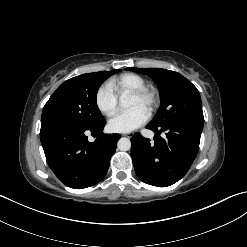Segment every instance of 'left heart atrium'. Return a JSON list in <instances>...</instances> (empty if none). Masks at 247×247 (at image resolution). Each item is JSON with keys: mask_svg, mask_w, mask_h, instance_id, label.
<instances>
[{"mask_svg": "<svg viewBox=\"0 0 247 247\" xmlns=\"http://www.w3.org/2000/svg\"><path fill=\"white\" fill-rule=\"evenodd\" d=\"M148 113L141 107H133L127 111L117 113L108 122V127L113 132L127 133L140 127L147 121Z\"/></svg>", "mask_w": 247, "mask_h": 247, "instance_id": "39dd6f15", "label": "left heart atrium"}]
</instances>
